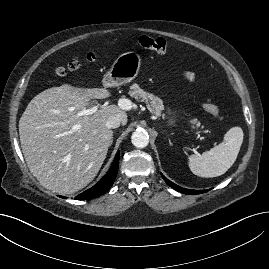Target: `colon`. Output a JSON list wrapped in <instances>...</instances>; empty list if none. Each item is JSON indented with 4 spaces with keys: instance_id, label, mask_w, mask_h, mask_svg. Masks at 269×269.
I'll return each mask as SVG.
<instances>
[{
    "instance_id": "obj_1",
    "label": "colon",
    "mask_w": 269,
    "mask_h": 269,
    "mask_svg": "<svg viewBox=\"0 0 269 269\" xmlns=\"http://www.w3.org/2000/svg\"><path fill=\"white\" fill-rule=\"evenodd\" d=\"M139 45L142 49L155 52L158 54H163L166 52L167 45L166 41L160 37H149L142 36L139 38ZM96 57L93 54H88L86 56V61L89 63L95 62ZM82 65V61L80 59H72L66 67H58L56 69V75L58 77H64L68 72H73L78 70ZM204 110L210 114L212 119L220 120L221 119V111L218 105L211 101H205L203 103Z\"/></svg>"
}]
</instances>
